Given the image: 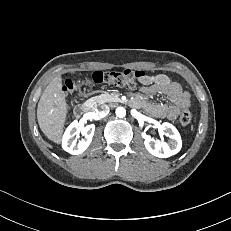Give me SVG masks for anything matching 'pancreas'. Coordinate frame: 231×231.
I'll use <instances>...</instances> for the list:
<instances>
[{
	"mask_svg": "<svg viewBox=\"0 0 231 231\" xmlns=\"http://www.w3.org/2000/svg\"><path fill=\"white\" fill-rule=\"evenodd\" d=\"M93 100L96 104H102L113 101V96L110 94H101L99 96L94 97Z\"/></svg>",
	"mask_w": 231,
	"mask_h": 231,
	"instance_id": "cf45deb5",
	"label": "pancreas"
}]
</instances>
